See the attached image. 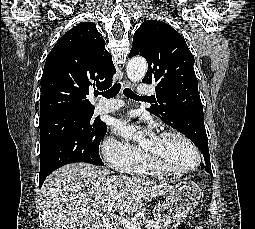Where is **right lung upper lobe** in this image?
<instances>
[{"label": "right lung upper lobe", "mask_w": 255, "mask_h": 229, "mask_svg": "<svg viewBox=\"0 0 255 229\" xmlns=\"http://www.w3.org/2000/svg\"><path fill=\"white\" fill-rule=\"evenodd\" d=\"M115 73L111 54L95 24H78L61 37L46 59L40 118L56 113L93 112L87 96L93 89H108Z\"/></svg>", "instance_id": "right-lung-upper-lobe-1"}]
</instances>
